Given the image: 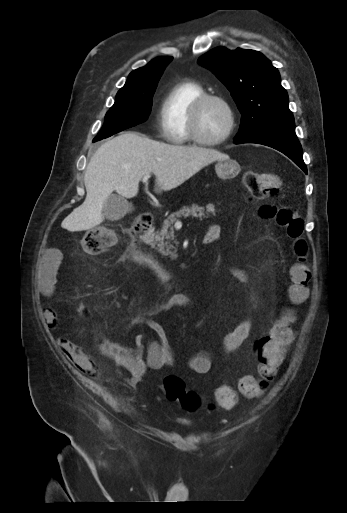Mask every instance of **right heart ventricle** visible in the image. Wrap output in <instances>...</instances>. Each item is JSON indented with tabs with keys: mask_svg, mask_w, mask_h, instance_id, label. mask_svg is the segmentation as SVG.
<instances>
[{
	"mask_svg": "<svg viewBox=\"0 0 347 513\" xmlns=\"http://www.w3.org/2000/svg\"><path fill=\"white\" fill-rule=\"evenodd\" d=\"M204 88L193 80H181L165 93L160 106V131L170 143L176 145L191 142L188 131V114L193 102L205 94Z\"/></svg>",
	"mask_w": 347,
	"mask_h": 513,
	"instance_id": "1",
	"label": "right heart ventricle"
}]
</instances>
